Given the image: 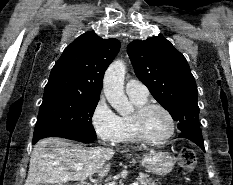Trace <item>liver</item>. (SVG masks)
<instances>
[{"label": "liver", "mask_w": 233, "mask_h": 185, "mask_svg": "<svg viewBox=\"0 0 233 185\" xmlns=\"http://www.w3.org/2000/svg\"><path fill=\"white\" fill-rule=\"evenodd\" d=\"M48 146L51 148H47ZM114 154L115 151L110 148H87L54 137L42 139L33 148L24 185H62L68 181L83 182L95 173L105 176L110 171L108 161ZM76 164L82 165L83 168L72 169Z\"/></svg>", "instance_id": "1"}]
</instances>
